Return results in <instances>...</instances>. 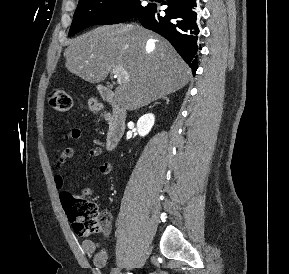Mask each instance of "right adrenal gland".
<instances>
[{
    "mask_svg": "<svg viewBox=\"0 0 289 274\" xmlns=\"http://www.w3.org/2000/svg\"><path fill=\"white\" fill-rule=\"evenodd\" d=\"M164 99L166 100V102H167V103L169 102V99H168V97H164Z\"/></svg>",
    "mask_w": 289,
    "mask_h": 274,
    "instance_id": "right-adrenal-gland-1",
    "label": "right adrenal gland"
}]
</instances>
